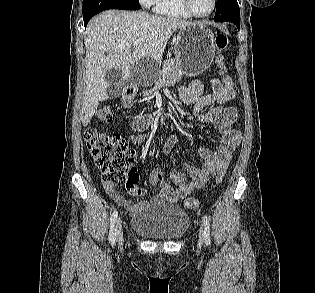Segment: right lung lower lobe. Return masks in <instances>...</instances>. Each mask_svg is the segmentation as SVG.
Returning <instances> with one entry per match:
<instances>
[{"mask_svg": "<svg viewBox=\"0 0 315 293\" xmlns=\"http://www.w3.org/2000/svg\"><path fill=\"white\" fill-rule=\"evenodd\" d=\"M108 9L138 10L140 4L126 0H83L84 26L94 15Z\"/></svg>", "mask_w": 315, "mask_h": 293, "instance_id": "obj_1", "label": "right lung lower lobe"}]
</instances>
